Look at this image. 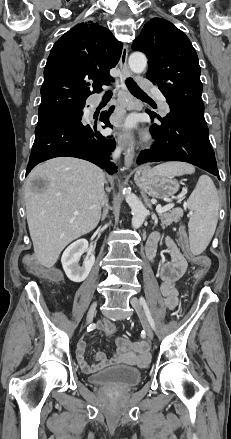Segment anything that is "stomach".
<instances>
[{
	"instance_id": "1",
	"label": "stomach",
	"mask_w": 231,
	"mask_h": 439,
	"mask_svg": "<svg viewBox=\"0 0 231 439\" xmlns=\"http://www.w3.org/2000/svg\"><path fill=\"white\" fill-rule=\"evenodd\" d=\"M134 180L152 198L168 199L179 190V182L172 175L153 173L147 166L136 169Z\"/></svg>"
}]
</instances>
